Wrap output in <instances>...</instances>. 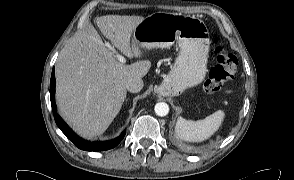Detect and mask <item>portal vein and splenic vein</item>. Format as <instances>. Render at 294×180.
<instances>
[{
  "label": "portal vein and splenic vein",
  "mask_w": 294,
  "mask_h": 180,
  "mask_svg": "<svg viewBox=\"0 0 294 180\" xmlns=\"http://www.w3.org/2000/svg\"><path fill=\"white\" fill-rule=\"evenodd\" d=\"M105 45H106V46H107V47H108L113 53L116 54V58H117V60H118L120 63L124 64V63L126 62V59L124 58V56H122L121 54H119V53L114 49V47L111 46V44H110L109 42L105 43Z\"/></svg>",
  "instance_id": "obj_1"
}]
</instances>
